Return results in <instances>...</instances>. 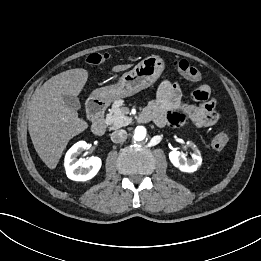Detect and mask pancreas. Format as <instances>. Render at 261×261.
<instances>
[{"label":"pancreas","mask_w":261,"mask_h":261,"mask_svg":"<svg viewBox=\"0 0 261 261\" xmlns=\"http://www.w3.org/2000/svg\"><path fill=\"white\" fill-rule=\"evenodd\" d=\"M125 112L126 107H122L121 100L113 103L109 113L106 115V124L110 126V129H118L131 122V118L127 117Z\"/></svg>","instance_id":"obj_1"}]
</instances>
